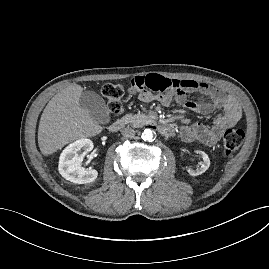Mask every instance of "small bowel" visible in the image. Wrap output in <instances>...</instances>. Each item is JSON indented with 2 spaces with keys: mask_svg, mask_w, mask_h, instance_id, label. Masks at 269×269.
<instances>
[{
  "mask_svg": "<svg viewBox=\"0 0 269 269\" xmlns=\"http://www.w3.org/2000/svg\"><path fill=\"white\" fill-rule=\"evenodd\" d=\"M131 93H137L140 100L151 101L154 98L166 105L176 101L186 109L207 115L215 109H222L211 126L202 123L185 125L180 130V137L185 142H199L213 146L220 140L223 132L233 127L241 118V108L235 99L205 83L192 79L176 80L163 75L137 76L131 81ZM153 92V93H152ZM198 92L202 99L188 101L187 94ZM154 94V95H153Z\"/></svg>",
  "mask_w": 269,
  "mask_h": 269,
  "instance_id": "c3829d8e",
  "label": "small bowel"
}]
</instances>
